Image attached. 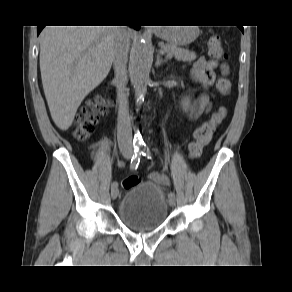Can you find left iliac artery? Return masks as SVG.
Wrapping results in <instances>:
<instances>
[{"label": "left iliac artery", "instance_id": "44dca946", "mask_svg": "<svg viewBox=\"0 0 292 292\" xmlns=\"http://www.w3.org/2000/svg\"><path fill=\"white\" fill-rule=\"evenodd\" d=\"M140 148H141V152H142L143 156H145L147 158H151V152H150L149 148L146 145H142ZM168 197L169 198H174L175 197V193L174 192H170L168 194Z\"/></svg>", "mask_w": 292, "mask_h": 292}]
</instances>
